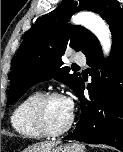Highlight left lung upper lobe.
I'll return each mask as SVG.
<instances>
[{
    "label": "left lung upper lobe",
    "instance_id": "left-lung-upper-lobe-1",
    "mask_svg": "<svg viewBox=\"0 0 123 152\" xmlns=\"http://www.w3.org/2000/svg\"><path fill=\"white\" fill-rule=\"evenodd\" d=\"M119 6L117 0H63L50 13L40 17L27 32L15 57L9 89V101H17L31 86L54 78L75 93L82 81L62 67L61 56L67 49L84 54L97 38L82 26L68 24L70 16L81 10L98 13L104 20Z\"/></svg>",
    "mask_w": 123,
    "mask_h": 152
}]
</instances>
